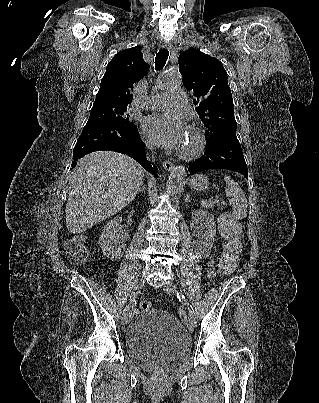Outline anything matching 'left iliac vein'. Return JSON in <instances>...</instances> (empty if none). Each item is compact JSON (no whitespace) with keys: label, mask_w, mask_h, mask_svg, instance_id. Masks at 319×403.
Masks as SVG:
<instances>
[{"label":"left iliac vein","mask_w":319,"mask_h":403,"mask_svg":"<svg viewBox=\"0 0 319 403\" xmlns=\"http://www.w3.org/2000/svg\"><path fill=\"white\" fill-rule=\"evenodd\" d=\"M163 290H164L165 292L169 293V294H175V293H176L175 286H174V284H173L172 282H170V281H168V282H166V284H164ZM187 327H188V330H189L190 332H193V331L195 330L196 324H195L191 319H189V320L187 321Z\"/></svg>","instance_id":"obj_1"}]
</instances>
